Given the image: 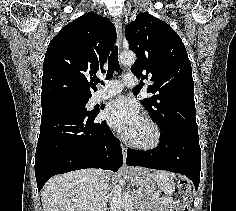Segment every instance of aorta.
Here are the masks:
<instances>
[{
	"instance_id": "762f6f07",
	"label": "aorta",
	"mask_w": 236,
	"mask_h": 211,
	"mask_svg": "<svg viewBox=\"0 0 236 211\" xmlns=\"http://www.w3.org/2000/svg\"><path fill=\"white\" fill-rule=\"evenodd\" d=\"M136 61V55L132 51H126L120 54V62L123 65L130 66ZM122 181H120L121 183ZM123 206V196L121 184L116 187L111 199V211H121Z\"/></svg>"
}]
</instances>
